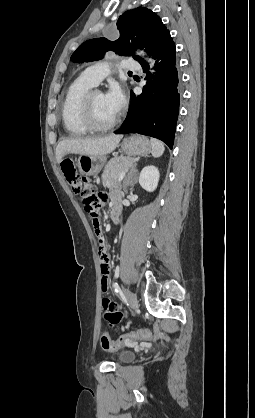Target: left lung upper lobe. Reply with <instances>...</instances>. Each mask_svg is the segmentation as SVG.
I'll return each mask as SVG.
<instances>
[{
  "mask_svg": "<svg viewBox=\"0 0 255 418\" xmlns=\"http://www.w3.org/2000/svg\"><path fill=\"white\" fill-rule=\"evenodd\" d=\"M120 37L111 41L96 38L82 43L72 54L73 62H88L103 58L107 51L130 56L140 64L144 60L135 55L136 48L144 49L149 56L158 53L171 38L170 32L159 16L150 9L138 7L126 11L117 21Z\"/></svg>",
  "mask_w": 255,
  "mask_h": 418,
  "instance_id": "obj_1",
  "label": "left lung upper lobe"
}]
</instances>
